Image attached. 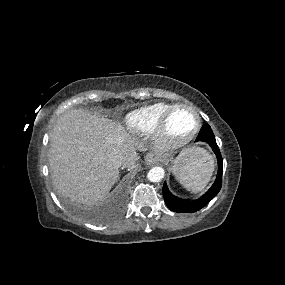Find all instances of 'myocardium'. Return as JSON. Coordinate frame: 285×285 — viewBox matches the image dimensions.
Here are the masks:
<instances>
[{
    "mask_svg": "<svg viewBox=\"0 0 285 285\" xmlns=\"http://www.w3.org/2000/svg\"><path fill=\"white\" fill-rule=\"evenodd\" d=\"M180 110H185L191 112L195 118L196 123L194 128L185 136L176 138L169 134L168 124L172 115ZM201 117L196 109L185 104L173 105L162 117L155 131L153 132V143L155 147L159 150L168 151L180 148L190 141H192L201 129Z\"/></svg>",
    "mask_w": 285,
    "mask_h": 285,
    "instance_id": "myocardium-1",
    "label": "myocardium"
}]
</instances>
